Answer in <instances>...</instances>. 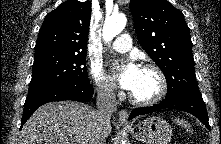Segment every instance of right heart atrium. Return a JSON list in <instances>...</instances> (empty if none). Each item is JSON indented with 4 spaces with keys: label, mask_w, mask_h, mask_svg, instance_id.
<instances>
[{
    "label": "right heart atrium",
    "mask_w": 221,
    "mask_h": 144,
    "mask_svg": "<svg viewBox=\"0 0 221 144\" xmlns=\"http://www.w3.org/2000/svg\"><path fill=\"white\" fill-rule=\"evenodd\" d=\"M90 76L100 96L108 99L115 96L116 85L113 79L105 74L101 65L92 64L90 67Z\"/></svg>",
    "instance_id": "1"
}]
</instances>
